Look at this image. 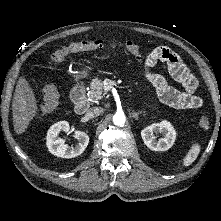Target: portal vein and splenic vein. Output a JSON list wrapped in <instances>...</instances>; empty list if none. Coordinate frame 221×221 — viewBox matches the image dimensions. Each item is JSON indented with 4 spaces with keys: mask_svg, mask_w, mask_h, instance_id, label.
I'll return each mask as SVG.
<instances>
[{
    "mask_svg": "<svg viewBox=\"0 0 221 221\" xmlns=\"http://www.w3.org/2000/svg\"><path fill=\"white\" fill-rule=\"evenodd\" d=\"M111 87H112V86H109V85H108V86H105V89H106V90H109Z\"/></svg>",
    "mask_w": 221,
    "mask_h": 221,
    "instance_id": "1",
    "label": "portal vein and splenic vein"
}]
</instances>
